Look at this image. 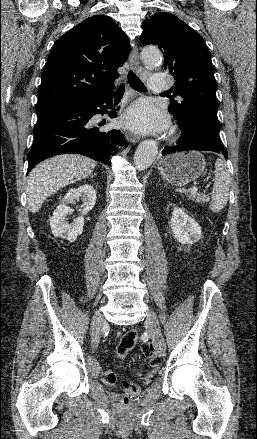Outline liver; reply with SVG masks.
I'll use <instances>...</instances> for the list:
<instances>
[{
  "mask_svg": "<svg viewBox=\"0 0 257 439\" xmlns=\"http://www.w3.org/2000/svg\"><path fill=\"white\" fill-rule=\"evenodd\" d=\"M96 162L76 154H63L36 166L28 175L26 183L28 209L40 210L46 198L68 184L91 176Z\"/></svg>",
  "mask_w": 257,
  "mask_h": 439,
  "instance_id": "obj_1",
  "label": "liver"
}]
</instances>
